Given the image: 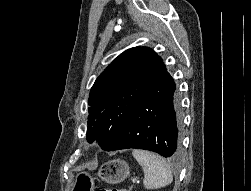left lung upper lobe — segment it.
<instances>
[{"mask_svg":"<svg viewBox=\"0 0 251 191\" xmlns=\"http://www.w3.org/2000/svg\"><path fill=\"white\" fill-rule=\"evenodd\" d=\"M166 70L148 47L121 53L96 79L89 96L87 140L109 151L132 111Z\"/></svg>","mask_w":251,"mask_h":191,"instance_id":"obj_1","label":"left lung upper lobe"}]
</instances>
